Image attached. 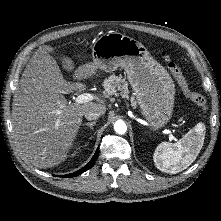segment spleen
Listing matches in <instances>:
<instances>
[{"instance_id":"1","label":"spleen","mask_w":221,"mask_h":221,"mask_svg":"<svg viewBox=\"0 0 221 221\" xmlns=\"http://www.w3.org/2000/svg\"><path fill=\"white\" fill-rule=\"evenodd\" d=\"M205 130V125L200 122L178 142L160 143L153 155L156 167L171 174H176L189 167L203 146Z\"/></svg>"}]
</instances>
